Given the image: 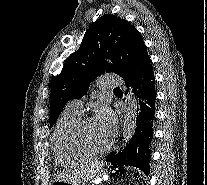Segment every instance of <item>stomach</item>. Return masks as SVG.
<instances>
[{
    "instance_id": "1",
    "label": "stomach",
    "mask_w": 207,
    "mask_h": 185,
    "mask_svg": "<svg viewBox=\"0 0 207 185\" xmlns=\"http://www.w3.org/2000/svg\"><path fill=\"white\" fill-rule=\"evenodd\" d=\"M107 176H103L102 178H101V181L102 180H107ZM68 184H70V183H67L66 181H63V180H59V181H56V182H54L53 183V185H68Z\"/></svg>"
}]
</instances>
